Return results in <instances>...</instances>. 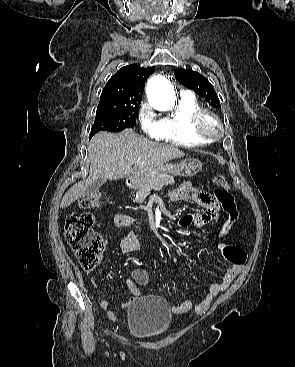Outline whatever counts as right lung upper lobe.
<instances>
[{"label":"right lung upper lobe","mask_w":295,"mask_h":367,"mask_svg":"<svg viewBox=\"0 0 295 367\" xmlns=\"http://www.w3.org/2000/svg\"><path fill=\"white\" fill-rule=\"evenodd\" d=\"M153 72L154 67L136 64L122 67L107 82L100 99L141 101L144 84Z\"/></svg>","instance_id":"1"}]
</instances>
